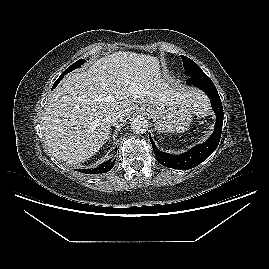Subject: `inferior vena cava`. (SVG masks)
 <instances>
[{
    "label": "inferior vena cava",
    "instance_id": "obj_1",
    "mask_svg": "<svg viewBox=\"0 0 269 269\" xmlns=\"http://www.w3.org/2000/svg\"><path fill=\"white\" fill-rule=\"evenodd\" d=\"M124 118V111L116 109L112 111L108 116V122L110 125H117Z\"/></svg>",
    "mask_w": 269,
    "mask_h": 269
}]
</instances>
